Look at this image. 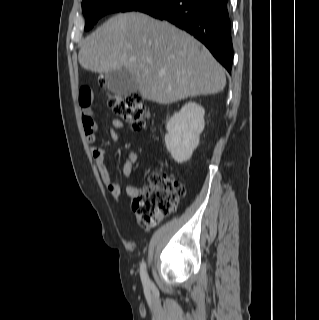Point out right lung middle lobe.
Segmentation results:
<instances>
[{
	"instance_id": "right-lung-middle-lobe-1",
	"label": "right lung middle lobe",
	"mask_w": 319,
	"mask_h": 320,
	"mask_svg": "<svg viewBox=\"0 0 319 320\" xmlns=\"http://www.w3.org/2000/svg\"><path fill=\"white\" fill-rule=\"evenodd\" d=\"M158 0H83L82 11L85 16V30L94 26L98 19L108 13L137 11L139 8Z\"/></svg>"
}]
</instances>
